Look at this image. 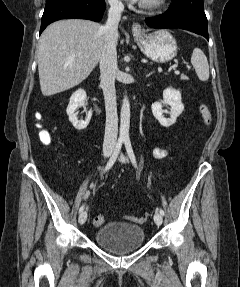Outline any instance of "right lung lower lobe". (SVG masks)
<instances>
[{
  "label": "right lung lower lobe",
  "instance_id": "98d812e1",
  "mask_svg": "<svg viewBox=\"0 0 240 287\" xmlns=\"http://www.w3.org/2000/svg\"><path fill=\"white\" fill-rule=\"evenodd\" d=\"M105 7L104 0H46L40 33L50 23L60 19L81 18L98 22Z\"/></svg>",
  "mask_w": 240,
  "mask_h": 287
}]
</instances>
